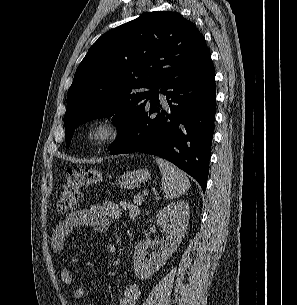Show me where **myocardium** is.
<instances>
[{"label":"myocardium","instance_id":"1","mask_svg":"<svg viewBox=\"0 0 297 305\" xmlns=\"http://www.w3.org/2000/svg\"><path fill=\"white\" fill-rule=\"evenodd\" d=\"M122 133L119 121L103 116L88 122L83 130L84 139L94 145H103L117 140Z\"/></svg>","mask_w":297,"mask_h":305}]
</instances>
